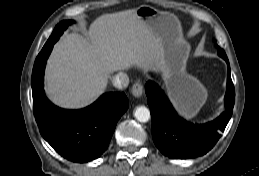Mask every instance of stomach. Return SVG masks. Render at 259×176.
I'll use <instances>...</instances> for the list:
<instances>
[{
	"instance_id": "1",
	"label": "stomach",
	"mask_w": 259,
	"mask_h": 176,
	"mask_svg": "<svg viewBox=\"0 0 259 176\" xmlns=\"http://www.w3.org/2000/svg\"><path fill=\"white\" fill-rule=\"evenodd\" d=\"M136 13L160 41V69L168 95L184 117H195L206 101L207 91L186 73L190 47L181 36L178 20L172 14L146 5L138 7Z\"/></svg>"
}]
</instances>
